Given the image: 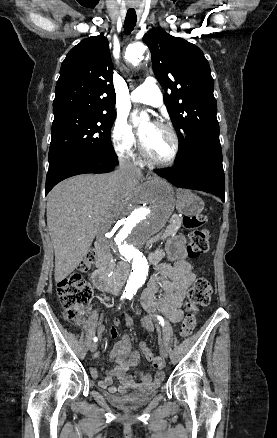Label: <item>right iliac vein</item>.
I'll return each instance as SVG.
<instances>
[{"mask_svg": "<svg viewBox=\"0 0 277 438\" xmlns=\"http://www.w3.org/2000/svg\"><path fill=\"white\" fill-rule=\"evenodd\" d=\"M97 347H98V344L95 343V342H93V343L90 345V351H91V352H95V351L97 350Z\"/></svg>", "mask_w": 277, "mask_h": 438, "instance_id": "63e3f726", "label": "right iliac vein"}]
</instances>
